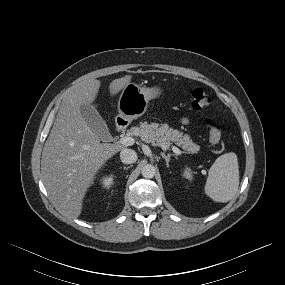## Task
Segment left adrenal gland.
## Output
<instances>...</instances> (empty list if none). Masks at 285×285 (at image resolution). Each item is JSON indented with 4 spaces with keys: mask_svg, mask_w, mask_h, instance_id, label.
Returning a JSON list of instances; mask_svg holds the SVG:
<instances>
[{
    "mask_svg": "<svg viewBox=\"0 0 285 285\" xmlns=\"http://www.w3.org/2000/svg\"><path fill=\"white\" fill-rule=\"evenodd\" d=\"M161 156H162V158L165 159L167 167H169L170 157H171V156H175V157H176L175 154H167V155H166L164 152L161 153Z\"/></svg>",
    "mask_w": 285,
    "mask_h": 285,
    "instance_id": "a2214340",
    "label": "left adrenal gland"
}]
</instances>
